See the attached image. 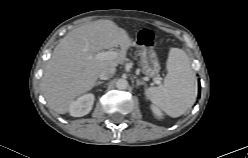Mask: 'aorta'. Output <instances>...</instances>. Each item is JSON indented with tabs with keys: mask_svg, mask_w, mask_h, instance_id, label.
<instances>
[{
	"mask_svg": "<svg viewBox=\"0 0 248 158\" xmlns=\"http://www.w3.org/2000/svg\"><path fill=\"white\" fill-rule=\"evenodd\" d=\"M118 89H126L128 87V81L126 79H119L116 82Z\"/></svg>",
	"mask_w": 248,
	"mask_h": 158,
	"instance_id": "762f6f07",
	"label": "aorta"
}]
</instances>
